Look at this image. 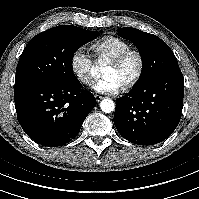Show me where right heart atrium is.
Instances as JSON below:
<instances>
[{"label":"right heart atrium","mask_w":199,"mask_h":199,"mask_svg":"<svg viewBox=\"0 0 199 199\" xmlns=\"http://www.w3.org/2000/svg\"><path fill=\"white\" fill-rule=\"evenodd\" d=\"M70 68L82 84H88L91 81L94 63L85 48L79 47L73 52L70 58Z\"/></svg>","instance_id":"d8ad5b80"}]
</instances>
